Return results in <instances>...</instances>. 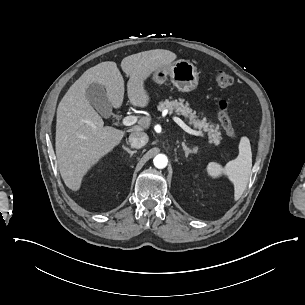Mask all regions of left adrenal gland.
<instances>
[{"instance_id": "1", "label": "left adrenal gland", "mask_w": 305, "mask_h": 305, "mask_svg": "<svg viewBox=\"0 0 305 305\" xmlns=\"http://www.w3.org/2000/svg\"><path fill=\"white\" fill-rule=\"evenodd\" d=\"M183 150L185 151V157L187 158L189 153H194V150L189 149L184 142H182Z\"/></svg>"}]
</instances>
